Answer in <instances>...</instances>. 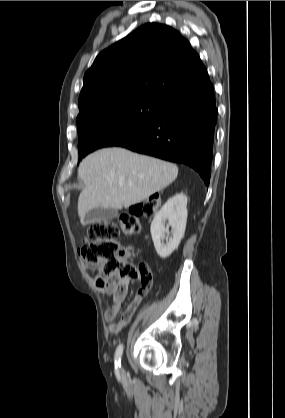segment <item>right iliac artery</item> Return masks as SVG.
I'll return each mask as SVG.
<instances>
[{
    "instance_id": "1",
    "label": "right iliac artery",
    "mask_w": 285,
    "mask_h": 418,
    "mask_svg": "<svg viewBox=\"0 0 285 418\" xmlns=\"http://www.w3.org/2000/svg\"><path fill=\"white\" fill-rule=\"evenodd\" d=\"M122 353H123V345L119 344V346L117 347L116 351H115V372L116 374L119 373V369L121 368V357H122Z\"/></svg>"
}]
</instances>
